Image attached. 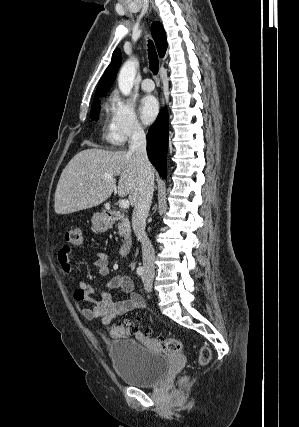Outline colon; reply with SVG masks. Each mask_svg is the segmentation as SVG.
I'll list each match as a JSON object with an SVG mask.
<instances>
[{
    "mask_svg": "<svg viewBox=\"0 0 299 427\" xmlns=\"http://www.w3.org/2000/svg\"><path fill=\"white\" fill-rule=\"evenodd\" d=\"M65 242L71 246H79L82 243V228L79 226L68 229L64 234ZM137 329L130 321L120 322L110 328V334L115 337H125L131 334H137ZM163 347L167 352L180 353L183 349V344L175 338H164ZM211 359V350L209 347H202L198 356V363L201 365L207 364Z\"/></svg>",
    "mask_w": 299,
    "mask_h": 427,
    "instance_id": "obj_1",
    "label": "colon"
}]
</instances>
